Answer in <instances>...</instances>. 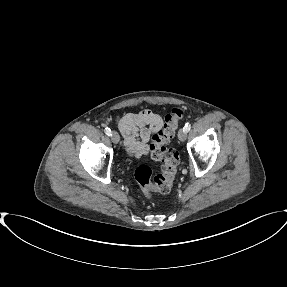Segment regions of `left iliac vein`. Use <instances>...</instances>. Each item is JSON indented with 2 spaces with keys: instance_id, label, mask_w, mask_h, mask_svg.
Masks as SVG:
<instances>
[{
  "instance_id": "left-iliac-vein-1",
  "label": "left iliac vein",
  "mask_w": 287,
  "mask_h": 287,
  "mask_svg": "<svg viewBox=\"0 0 287 287\" xmlns=\"http://www.w3.org/2000/svg\"><path fill=\"white\" fill-rule=\"evenodd\" d=\"M187 136V132L184 129H180L178 132V138L180 141H185Z\"/></svg>"
}]
</instances>
